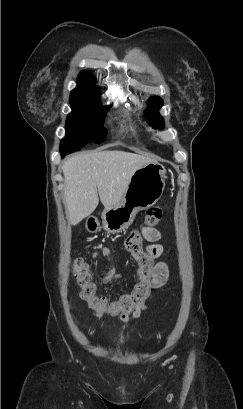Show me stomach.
Listing matches in <instances>:
<instances>
[{"instance_id":"1","label":"stomach","mask_w":243,"mask_h":409,"mask_svg":"<svg viewBox=\"0 0 243 409\" xmlns=\"http://www.w3.org/2000/svg\"><path fill=\"white\" fill-rule=\"evenodd\" d=\"M167 169L160 163L152 162L138 168L123 194L120 202L102 212V225L108 233H118L128 228L136 214L153 206L164 191ZM100 228L96 217L89 216L86 229L97 232Z\"/></svg>"}]
</instances>
